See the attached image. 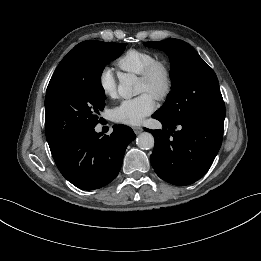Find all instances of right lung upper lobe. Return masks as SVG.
<instances>
[{
  "label": "right lung upper lobe",
  "instance_id": "obj_1",
  "mask_svg": "<svg viewBox=\"0 0 261 261\" xmlns=\"http://www.w3.org/2000/svg\"><path fill=\"white\" fill-rule=\"evenodd\" d=\"M75 51L76 47H74L59 63L49 82L48 88L54 86L60 79L72 71Z\"/></svg>",
  "mask_w": 261,
  "mask_h": 261
}]
</instances>
